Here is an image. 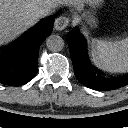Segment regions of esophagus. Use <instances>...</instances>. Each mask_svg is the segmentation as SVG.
Here are the masks:
<instances>
[{"mask_svg":"<svg viewBox=\"0 0 128 128\" xmlns=\"http://www.w3.org/2000/svg\"><path fill=\"white\" fill-rule=\"evenodd\" d=\"M69 18L66 16H59L54 22V28L57 31H62L69 25Z\"/></svg>","mask_w":128,"mask_h":128,"instance_id":"obj_1","label":"esophagus"}]
</instances>
